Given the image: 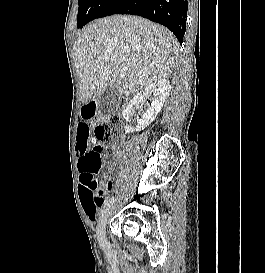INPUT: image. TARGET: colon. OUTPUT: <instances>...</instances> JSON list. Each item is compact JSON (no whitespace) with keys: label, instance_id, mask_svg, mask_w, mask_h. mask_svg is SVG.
<instances>
[{"label":"colon","instance_id":"1","mask_svg":"<svg viewBox=\"0 0 265 273\" xmlns=\"http://www.w3.org/2000/svg\"><path fill=\"white\" fill-rule=\"evenodd\" d=\"M120 124V118L114 116L108 122L98 124L95 129L77 128L76 152L80 156L82 193L102 194L95 178L101 165V144L110 142L117 135Z\"/></svg>","mask_w":265,"mask_h":273}]
</instances>
